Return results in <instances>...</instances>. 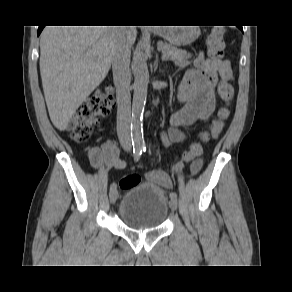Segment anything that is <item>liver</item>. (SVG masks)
<instances>
[{
    "label": "liver",
    "instance_id": "liver-1",
    "mask_svg": "<svg viewBox=\"0 0 292 292\" xmlns=\"http://www.w3.org/2000/svg\"><path fill=\"white\" fill-rule=\"evenodd\" d=\"M118 26H46L40 37V75L50 119L63 131L79 106L105 79ZM126 34L131 45L136 28Z\"/></svg>",
    "mask_w": 292,
    "mask_h": 292
}]
</instances>
